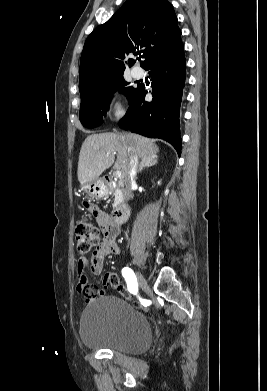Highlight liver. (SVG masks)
I'll list each match as a JSON object with an SVG mask.
<instances>
[{
  "label": "liver",
  "mask_w": 267,
  "mask_h": 391,
  "mask_svg": "<svg viewBox=\"0 0 267 391\" xmlns=\"http://www.w3.org/2000/svg\"><path fill=\"white\" fill-rule=\"evenodd\" d=\"M158 146L154 140L138 134L115 133L92 134L88 136L81 147L78 161V180L81 185L92 182L114 164L125 178L131 153L140 158L152 159L157 157Z\"/></svg>",
  "instance_id": "1"
}]
</instances>
